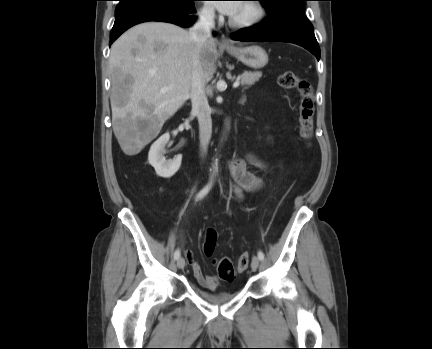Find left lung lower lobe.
Returning <instances> with one entry per match:
<instances>
[{"label": "left lung lower lobe", "instance_id": "left-lung-lower-lobe-1", "mask_svg": "<svg viewBox=\"0 0 432 349\" xmlns=\"http://www.w3.org/2000/svg\"><path fill=\"white\" fill-rule=\"evenodd\" d=\"M239 41H280L300 45L320 59L313 25L305 15L274 13L268 19L232 34Z\"/></svg>", "mask_w": 432, "mask_h": 349}]
</instances>
